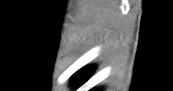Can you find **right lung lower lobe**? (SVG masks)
Here are the masks:
<instances>
[{
    "instance_id": "1",
    "label": "right lung lower lobe",
    "mask_w": 173,
    "mask_h": 91,
    "mask_svg": "<svg viewBox=\"0 0 173 91\" xmlns=\"http://www.w3.org/2000/svg\"><path fill=\"white\" fill-rule=\"evenodd\" d=\"M91 73V69H85L81 71L78 75L74 77V82L76 84L82 83Z\"/></svg>"
}]
</instances>
